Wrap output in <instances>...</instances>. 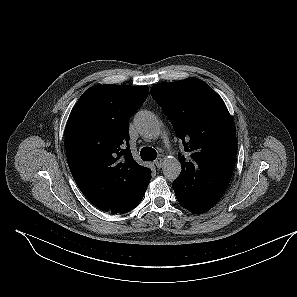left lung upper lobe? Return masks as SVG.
<instances>
[{
    "instance_id": "left-lung-upper-lobe-1",
    "label": "left lung upper lobe",
    "mask_w": 297,
    "mask_h": 297,
    "mask_svg": "<svg viewBox=\"0 0 297 297\" xmlns=\"http://www.w3.org/2000/svg\"><path fill=\"white\" fill-rule=\"evenodd\" d=\"M151 95L172 123L190 158H178L184 208L213 206L226 191L236 158V129L222 98L204 81L159 83Z\"/></svg>"
}]
</instances>
